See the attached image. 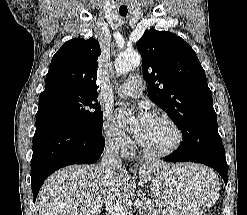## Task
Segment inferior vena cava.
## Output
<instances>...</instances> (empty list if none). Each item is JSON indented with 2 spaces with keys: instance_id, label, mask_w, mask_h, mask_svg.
Segmentation results:
<instances>
[{
  "instance_id": "obj_1",
  "label": "inferior vena cava",
  "mask_w": 247,
  "mask_h": 215,
  "mask_svg": "<svg viewBox=\"0 0 247 215\" xmlns=\"http://www.w3.org/2000/svg\"><path fill=\"white\" fill-rule=\"evenodd\" d=\"M120 145L115 140H108L104 149L101 163L99 166L103 169L108 178H112L115 171L122 166V160L119 156Z\"/></svg>"
}]
</instances>
